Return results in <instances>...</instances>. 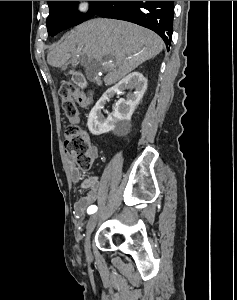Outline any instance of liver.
I'll list each match as a JSON object with an SVG mask.
<instances>
[{"label":"liver","mask_w":237,"mask_h":300,"mask_svg":"<svg viewBox=\"0 0 237 300\" xmlns=\"http://www.w3.org/2000/svg\"><path fill=\"white\" fill-rule=\"evenodd\" d=\"M164 43L156 33L114 19H92L78 25L62 37V43H56L47 55L51 67L63 69L68 59L75 65H89L91 59L102 61L98 71L104 69L106 85H114L138 65L161 53ZM111 61V63H109ZM73 75V71H69Z\"/></svg>","instance_id":"1"}]
</instances>
